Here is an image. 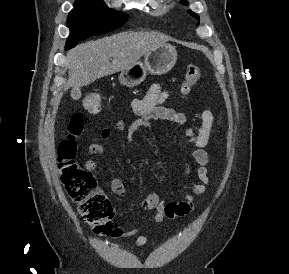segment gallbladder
I'll use <instances>...</instances> for the list:
<instances>
[{
	"instance_id": "1",
	"label": "gallbladder",
	"mask_w": 289,
	"mask_h": 274,
	"mask_svg": "<svg viewBox=\"0 0 289 274\" xmlns=\"http://www.w3.org/2000/svg\"><path fill=\"white\" fill-rule=\"evenodd\" d=\"M71 98L74 100H78L81 97V91L79 88H73L70 94Z\"/></svg>"
}]
</instances>
